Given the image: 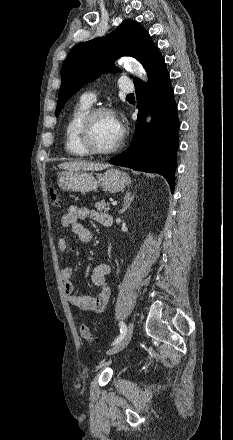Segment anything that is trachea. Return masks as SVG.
I'll use <instances>...</instances> for the list:
<instances>
[{
    "instance_id": "obj_1",
    "label": "trachea",
    "mask_w": 233,
    "mask_h": 440,
    "mask_svg": "<svg viewBox=\"0 0 233 440\" xmlns=\"http://www.w3.org/2000/svg\"><path fill=\"white\" fill-rule=\"evenodd\" d=\"M127 97H134V94H128Z\"/></svg>"
}]
</instances>
